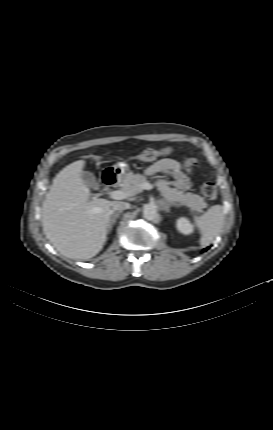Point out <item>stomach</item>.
I'll return each instance as SVG.
<instances>
[{
    "instance_id": "1",
    "label": "stomach",
    "mask_w": 273,
    "mask_h": 430,
    "mask_svg": "<svg viewBox=\"0 0 273 430\" xmlns=\"http://www.w3.org/2000/svg\"><path fill=\"white\" fill-rule=\"evenodd\" d=\"M129 166L127 163H117L114 165V170L117 173L118 176L124 178L126 175V172L128 171Z\"/></svg>"
}]
</instances>
